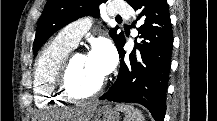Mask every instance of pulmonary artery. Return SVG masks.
I'll list each match as a JSON object with an SVG mask.
<instances>
[{
	"label": "pulmonary artery",
	"mask_w": 217,
	"mask_h": 121,
	"mask_svg": "<svg viewBox=\"0 0 217 121\" xmlns=\"http://www.w3.org/2000/svg\"><path fill=\"white\" fill-rule=\"evenodd\" d=\"M112 16L129 18L130 9L124 5H114ZM92 22L89 18L79 19L64 27L59 37L76 46L79 40L85 35V33L91 28Z\"/></svg>",
	"instance_id": "e3ab8cb5"
}]
</instances>
